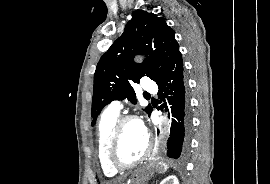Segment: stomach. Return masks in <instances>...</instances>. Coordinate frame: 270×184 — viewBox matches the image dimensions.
I'll use <instances>...</instances> for the list:
<instances>
[{"instance_id": "0dacf381", "label": "stomach", "mask_w": 270, "mask_h": 184, "mask_svg": "<svg viewBox=\"0 0 270 184\" xmlns=\"http://www.w3.org/2000/svg\"><path fill=\"white\" fill-rule=\"evenodd\" d=\"M167 165L164 163H161L159 165V172L163 173L167 170ZM150 176V165H146L138 170H136L132 174L131 183L132 184H143L144 181H146Z\"/></svg>"}]
</instances>
